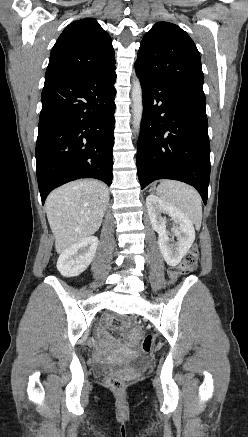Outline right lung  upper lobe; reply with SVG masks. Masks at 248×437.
<instances>
[{"label":"right lung upper lobe","instance_id":"right-lung-upper-lobe-1","mask_svg":"<svg viewBox=\"0 0 248 437\" xmlns=\"http://www.w3.org/2000/svg\"><path fill=\"white\" fill-rule=\"evenodd\" d=\"M115 67L112 39L93 18L69 24L55 43L45 81L89 78Z\"/></svg>","mask_w":248,"mask_h":437}]
</instances>
